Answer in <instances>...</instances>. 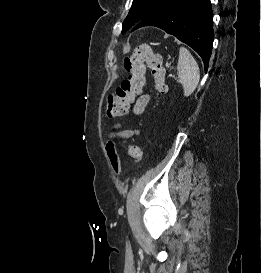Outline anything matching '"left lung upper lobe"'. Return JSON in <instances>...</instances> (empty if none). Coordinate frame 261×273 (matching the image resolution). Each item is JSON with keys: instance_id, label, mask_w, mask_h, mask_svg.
I'll list each match as a JSON object with an SVG mask.
<instances>
[{"instance_id": "obj_1", "label": "left lung upper lobe", "mask_w": 261, "mask_h": 273, "mask_svg": "<svg viewBox=\"0 0 261 273\" xmlns=\"http://www.w3.org/2000/svg\"><path fill=\"white\" fill-rule=\"evenodd\" d=\"M169 1L170 0H133L129 14L123 22L122 33H125L136 23Z\"/></svg>"}]
</instances>
